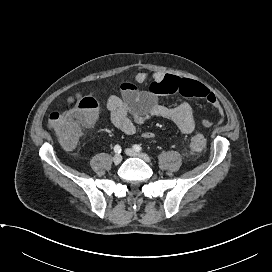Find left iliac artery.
Here are the masks:
<instances>
[{
	"mask_svg": "<svg viewBox=\"0 0 272 272\" xmlns=\"http://www.w3.org/2000/svg\"><path fill=\"white\" fill-rule=\"evenodd\" d=\"M133 149H134L135 151H137V152L142 151V147H141L140 145H137V144H135V145L133 146Z\"/></svg>",
	"mask_w": 272,
	"mask_h": 272,
	"instance_id": "44dca946",
	"label": "left iliac artery"
}]
</instances>
